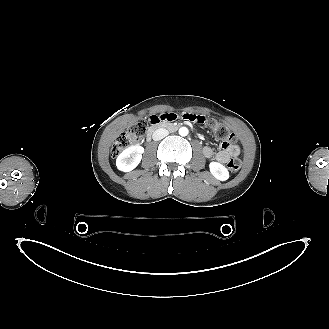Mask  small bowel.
Returning <instances> with one entry per match:
<instances>
[{
	"instance_id": "obj_1",
	"label": "small bowel",
	"mask_w": 329,
	"mask_h": 329,
	"mask_svg": "<svg viewBox=\"0 0 329 329\" xmlns=\"http://www.w3.org/2000/svg\"><path fill=\"white\" fill-rule=\"evenodd\" d=\"M157 118L164 122H179L182 121L189 124H194V126L201 128L203 125L207 124L208 119L204 115H196L193 112H167V113H159ZM203 153L207 158H214L216 161L220 163H226L230 158L237 157L240 154V149L237 145H229L222 146V149L214 152L213 149L209 146L204 147Z\"/></svg>"
}]
</instances>
